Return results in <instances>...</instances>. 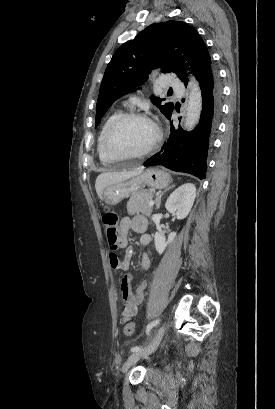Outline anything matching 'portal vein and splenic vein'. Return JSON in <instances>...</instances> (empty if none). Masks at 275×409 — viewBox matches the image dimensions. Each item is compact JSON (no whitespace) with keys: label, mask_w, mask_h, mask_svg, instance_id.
Wrapping results in <instances>:
<instances>
[{"label":"portal vein and splenic vein","mask_w":275,"mask_h":409,"mask_svg":"<svg viewBox=\"0 0 275 409\" xmlns=\"http://www.w3.org/2000/svg\"><path fill=\"white\" fill-rule=\"evenodd\" d=\"M149 205L152 207V205H154V200H150Z\"/></svg>","instance_id":"1"}]
</instances>
